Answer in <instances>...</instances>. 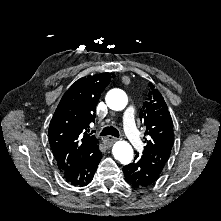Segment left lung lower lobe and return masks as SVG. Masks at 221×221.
<instances>
[{
    "label": "left lung lower lobe",
    "instance_id": "left-lung-lower-lobe-1",
    "mask_svg": "<svg viewBox=\"0 0 221 221\" xmlns=\"http://www.w3.org/2000/svg\"><path fill=\"white\" fill-rule=\"evenodd\" d=\"M126 181L133 187H147L154 184L162 174L145 158L136 154L134 162L123 167Z\"/></svg>",
    "mask_w": 221,
    "mask_h": 221
}]
</instances>
